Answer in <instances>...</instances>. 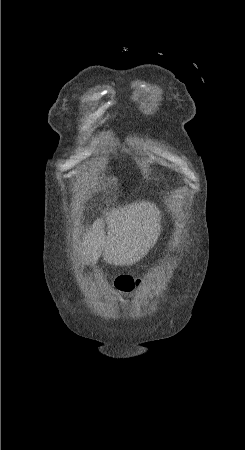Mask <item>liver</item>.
<instances>
[{
    "label": "liver",
    "instance_id": "6515ba94",
    "mask_svg": "<svg viewBox=\"0 0 245 450\" xmlns=\"http://www.w3.org/2000/svg\"><path fill=\"white\" fill-rule=\"evenodd\" d=\"M160 221V211L148 201L111 208L84 234L81 256L87 265L96 264L102 253L109 264L133 265L157 242L161 232Z\"/></svg>",
    "mask_w": 245,
    "mask_h": 450
}]
</instances>
